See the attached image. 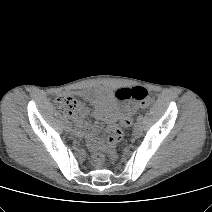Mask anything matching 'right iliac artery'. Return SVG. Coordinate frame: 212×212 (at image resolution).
<instances>
[{
    "label": "right iliac artery",
    "mask_w": 212,
    "mask_h": 212,
    "mask_svg": "<svg viewBox=\"0 0 212 212\" xmlns=\"http://www.w3.org/2000/svg\"><path fill=\"white\" fill-rule=\"evenodd\" d=\"M63 120H64V121H66V122H68V120H67V118H66V117H63Z\"/></svg>",
    "instance_id": "obj_1"
}]
</instances>
